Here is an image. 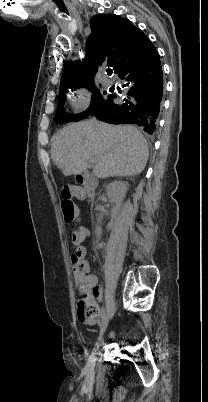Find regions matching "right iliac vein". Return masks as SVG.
<instances>
[{"label":"right iliac vein","instance_id":"1","mask_svg":"<svg viewBox=\"0 0 208 402\" xmlns=\"http://www.w3.org/2000/svg\"><path fill=\"white\" fill-rule=\"evenodd\" d=\"M107 326H108V316H106L101 323L98 341L96 342V345H95V347L91 353V356L88 360V363L86 365L87 372H92L94 369L95 362H96V355L99 351L100 344L103 341V335L107 329Z\"/></svg>","mask_w":208,"mask_h":402}]
</instances>
